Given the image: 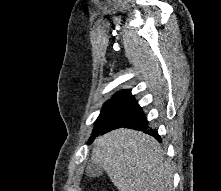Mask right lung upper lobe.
<instances>
[{
    "label": "right lung upper lobe",
    "instance_id": "cb5924a9",
    "mask_svg": "<svg viewBox=\"0 0 221 191\" xmlns=\"http://www.w3.org/2000/svg\"><path fill=\"white\" fill-rule=\"evenodd\" d=\"M130 92V90H122V91H119L117 92L116 94L113 95V97L108 100L107 102H110V101H120L124 96H126L128 93ZM106 102V103H107Z\"/></svg>",
    "mask_w": 221,
    "mask_h": 191
}]
</instances>
